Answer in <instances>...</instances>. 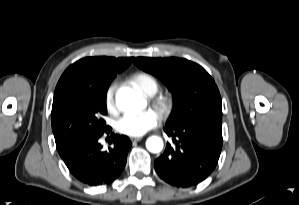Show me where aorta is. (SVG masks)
<instances>
[{
  "label": "aorta",
  "instance_id": "obj_1",
  "mask_svg": "<svg viewBox=\"0 0 299 205\" xmlns=\"http://www.w3.org/2000/svg\"><path fill=\"white\" fill-rule=\"evenodd\" d=\"M116 104L125 112H134L145 107V100L131 88L124 87L116 93ZM163 145V140L158 136H151L146 141V148L152 153H159Z\"/></svg>",
  "mask_w": 299,
  "mask_h": 205
}]
</instances>
